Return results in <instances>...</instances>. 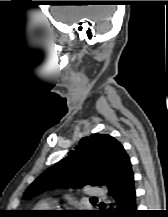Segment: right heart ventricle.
Segmentation results:
<instances>
[{"instance_id":"1","label":"right heart ventricle","mask_w":168,"mask_h":217,"mask_svg":"<svg viewBox=\"0 0 168 217\" xmlns=\"http://www.w3.org/2000/svg\"><path fill=\"white\" fill-rule=\"evenodd\" d=\"M50 205L51 204L48 202H42L36 206V209H47L50 207Z\"/></svg>"}]
</instances>
